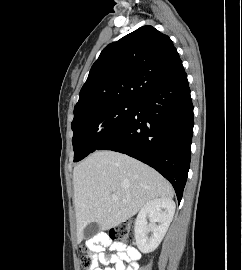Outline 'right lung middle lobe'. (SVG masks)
<instances>
[{
    "label": "right lung middle lobe",
    "instance_id": "obj_1",
    "mask_svg": "<svg viewBox=\"0 0 242 270\" xmlns=\"http://www.w3.org/2000/svg\"><path fill=\"white\" fill-rule=\"evenodd\" d=\"M137 100H118L74 115L71 123L74 162H77L112 137L133 112Z\"/></svg>",
    "mask_w": 242,
    "mask_h": 270
}]
</instances>
